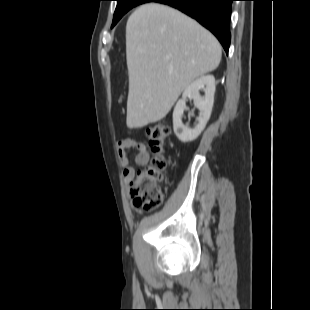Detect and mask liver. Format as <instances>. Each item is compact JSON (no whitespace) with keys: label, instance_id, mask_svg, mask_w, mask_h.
<instances>
[{"label":"liver","instance_id":"6515ba94","mask_svg":"<svg viewBox=\"0 0 310 310\" xmlns=\"http://www.w3.org/2000/svg\"><path fill=\"white\" fill-rule=\"evenodd\" d=\"M221 55L217 39L180 11L157 3L137 8L126 25L127 127L163 119L190 83L218 67Z\"/></svg>","mask_w":310,"mask_h":310}]
</instances>
